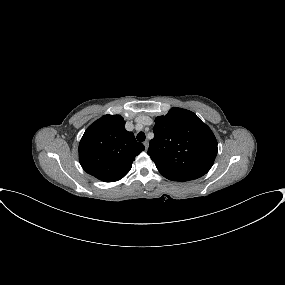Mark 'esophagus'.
I'll use <instances>...</instances> for the list:
<instances>
[{
    "label": "esophagus",
    "mask_w": 285,
    "mask_h": 285,
    "mask_svg": "<svg viewBox=\"0 0 285 285\" xmlns=\"http://www.w3.org/2000/svg\"><path fill=\"white\" fill-rule=\"evenodd\" d=\"M143 144H144L145 150H147V149H148V147H149V143H148V141H145Z\"/></svg>",
    "instance_id": "esophagus-1"
}]
</instances>
